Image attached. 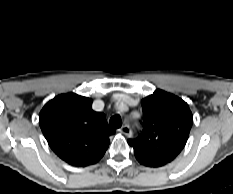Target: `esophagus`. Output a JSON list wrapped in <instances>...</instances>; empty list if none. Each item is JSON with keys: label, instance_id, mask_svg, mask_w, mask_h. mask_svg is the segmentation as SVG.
<instances>
[{"label": "esophagus", "instance_id": "34e87169", "mask_svg": "<svg viewBox=\"0 0 233 194\" xmlns=\"http://www.w3.org/2000/svg\"><path fill=\"white\" fill-rule=\"evenodd\" d=\"M119 131L123 133L126 137L130 138L132 137V130L128 125L122 126Z\"/></svg>", "mask_w": 233, "mask_h": 194}]
</instances>
